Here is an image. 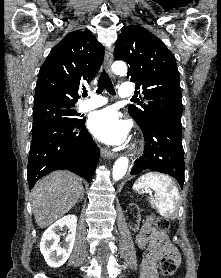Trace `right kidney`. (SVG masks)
<instances>
[{
  "mask_svg": "<svg viewBox=\"0 0 221 278\" xmlns=\"http://www.w3.org/2000/svg\"><path fill=\"white\" fill-rule=\"evenodd\" d=\"M64 226H67L71 233L67 235L64 242L60 243V237L57 232ZM76 228L77 217L69 215L56 221L43 233L40 251L50 267H60L68 260L74 246Z\"/></svg>",
  "mask_w": 221,
  "mask_h": 278,
  "instance_id": "1",
  "label": "right kidney"
}]
</instances>
